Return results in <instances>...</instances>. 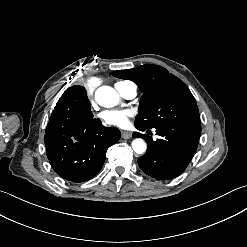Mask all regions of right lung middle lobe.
<instances>
[{
  "label": "right lung middle lobe",
  "mask_w": 247,
  "mask_h": 247,
  "mask_svg": "<svg viewBox=\"0 0 247 247\" xmlns=\"http://www.w3.org/2000/svg\"><path fill=\"white\" fill-rule=\"evenodd\" d=\"M61 98L69 100L86 111H90L91 104L88 100L87 92L82 86L68 88Z\"/></svg>",
  "instance_id": "1"
}]
</instances>
